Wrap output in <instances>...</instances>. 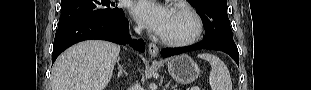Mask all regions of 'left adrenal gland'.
Listing matches in <instances>:
<instances>
[{
	"mask_svg": "<svg viewBox=\"0 0 311 90\" xmlns=\"http://www.w3.org/2000/svg\"><path fill=\"white\" fill-rule=\"evenodd\" d=\"M169 84H170V82L168 83V85H166V87H168V86H169Z\"/></svg>",
	"mask_w": 311,
	"mask_h": 90,
	"instance_id": "left-adrenal-gland-1",
	"label": "left adrenal gland"
}]
</instances>
